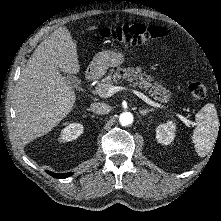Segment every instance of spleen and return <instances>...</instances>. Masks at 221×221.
I'll use <instances>...</instances> for the list:
<instances>
[{"label":"spleen","instance_id":"1","mask_svg":"<svg viewBox=\"0 0 221 221\" xmlns=\"http://www.w3.org/2000/svg\"><path fill=\"white\" fill-rule=\"evenodd\" d=\"M196 128L192 134V142L200 157H205L215 144L219 119L214 104H206L196 115Z\"/></svg>","mask_w":221,"mask_h":221}]
</instances>
